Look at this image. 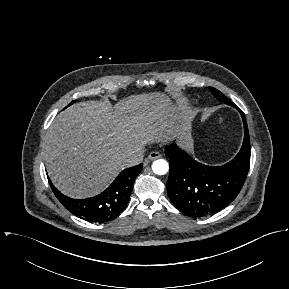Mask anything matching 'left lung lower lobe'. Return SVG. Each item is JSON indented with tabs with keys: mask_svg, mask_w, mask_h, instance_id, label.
<instances>
[{
	"mask_svg": "<svg viewBox=\"0 0 289 289\" xmlns=\"http://www.w3.org/2000/svg\"><path fill=\"white\" fill-rule=\"evenodd\" d=\"M244 140L239 153L223 166H206L193 160L173 143L166 147L170 171L167 192L182 213L202 217L216 213L238 195L250 166V139L245 114Z\"/></svg>",
	"mask_w": 289,
	"mask_h": 289,
	"instance_id": "left-lung-lower-lobe-1",
	"label": "left lung lower lobe"
}]
</instances>
